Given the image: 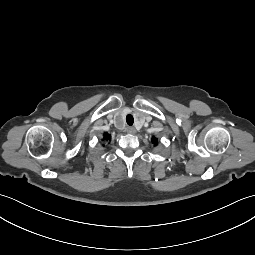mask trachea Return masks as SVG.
I'll use <instances>...</instances> for the list:
<instances>
[{
	"mask_svg": "<svg viewBox=\"0 0 255 255\" xmlns=\"http://www.w3.org/2000/svg\"><path fill=\"white\" fill-rule=\"evenodd\" d=\"M126 122H127V124H128L129 126H132V125H133V123H134V118H133V116H132L131 114H128V115L126 116Z\"/></svg>",
	"mask_w": 255,
	"mask_h": 255,
	"instance_id": "trachea-1",
	"label": "trachea"
}]
</instances>
